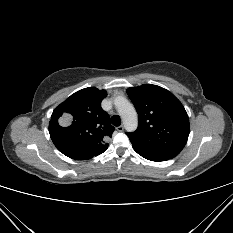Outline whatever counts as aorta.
I'll list each match as a JSON object with an SVG mask.
<instances>
[{
  "instance_id": "aorta-1",
  "label": "aorta",
  "mask_w": 233,
  "mask_h": 233,
  "mask_svg": "<svg viewBox=\"0 0 233 233\" xmlns=\"http://www.w3.org/2000/svg\"><path fill=\"white\" fill-rule=\"evenodd\" d=\"M114 104L120 117L122 118L126 131H135L138 126V117L133 105L125 97L122 96H117L114 99Z\"/></svg>"
}]
</instances>
